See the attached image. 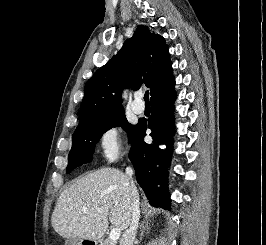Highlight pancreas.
Instances as JSON below:
<instances>
[{"label": "pancreas", "mask_w": 266, "mask_h": 245, "mask_svg": "<svg viewBox=\"0 0 266 245\" xmlns=\"http://www.w3.org/2000/svg\"><path fill=\"white\" fill-rule=\"evenodd\" d=\"M102 245H110V243H108V241H104V243H102Z\"/></svg>", "instance_id": "cf45deb5"}]
</instances>
